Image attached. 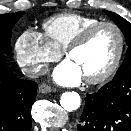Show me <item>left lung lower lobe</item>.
I'll return each mask as SVG.
<instances>
[{"label":"left lung lower lobe","instance_id":"1","mask_svg":"<svg viewBox=\"0 0 131 131\" xmlns=\"http://www.w3.org/2000/svg\"><path fill=\"white\" fill-rule=\"evenodd\" d=\"M78 131H131V76L113 79L87 94Z\"/></svg>","mask_w":131,"mask_h":131}]
</instances>
